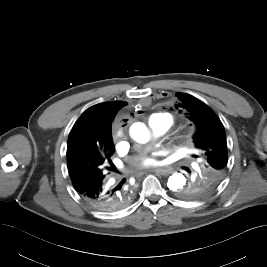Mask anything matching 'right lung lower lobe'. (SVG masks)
Listing matches in <instances>:
<instances>
[{
  "instance_id": "1",
  "label": "right lung lower lobe",
  "mask_w": 267,
  "mask_h": 267,
  "mask_svg": "<svg viewBox=\"0 0 267 267\" xmlns=\"http://www.w3.org/2000/svg\"><path fill=\"white\" fill-rule=\"evenodd\" d=\"M109 186L106 178L86 181L74 188L91 206L102 211H117L127 206L133 197L128 188Z\"/></svg>"
}]
</instances>
